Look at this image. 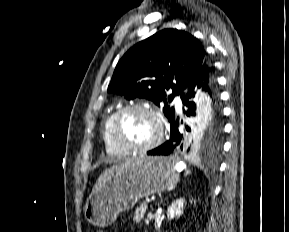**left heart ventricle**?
I'll return each instance as SVG.
<instances>
[{"label": "left heart ventricle", "mask_w": 289, "mask_h": 232, "mask_svg": "<svg viewBox=\"0 0 289 232\" xmlns=\"http://www.w3.org/2000/svg\"><path fill=\"white\" fill-rule=\"evenodd\" d=\"M157 135L154 119L143 111H130L123 115L119 123L120 139L132 146H144Z\"/></svg>", "instance_id": "obj_1"}]
</instances>
